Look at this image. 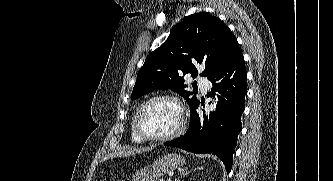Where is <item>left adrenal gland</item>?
I'll return each mask as SVG.
<instances>
[{"instance_id": "obj_1", "label": "left adrenal gland", "mask_w": 333, "mask_h": 181, "mask_svg": "<svg viewBox=\"0 0 333 181\" xmlns=\"http://www.w3.org/2000/svg\"><path fill=\"white\" fill-rule=\"evenodd\" d=\"M196 169H199V168H195V169H190L189 168H185L181 173H180V176H178L175 181H180V179L184 176H186L187 174H189L192 170H196Z\"/></svg>"}]
</instances>
